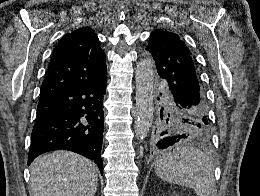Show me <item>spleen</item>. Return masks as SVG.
Masks as SVG:
<instances>
[{"mask_svg":"<svg viewBox=\"0 0 260 196\" xmlns=\"http://www.w3.org/2000/svg\"><path fill=\"white\" fill-rule=\"evenodd\" d=\"M155 172L164 182L192 188L197 196H210L215 182L214 166L208 156L191 146H178L173 154L159 156Z\"/></svg>","mask_w":260,"mask_h":196,"instance_id":"3e777b00","label":"spleen"}]
</instances>
